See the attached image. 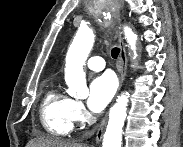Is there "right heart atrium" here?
<instances>
[{
  "mask_svg": "<svg viewBox=\"0 0 183 147\" xmlns=\"http://www.w3.org/2000/svg\"><path fill=\"white\" fill-rule=\"evenodd\" d=\"M86 117H87V113L83 104L79 101H74V107H73L74 121L82 123L86 120Z\"/></svg>",
  "mask_w": 183,
  "mask_h": 147,
  "instance_id": "right-heart-atrium-1",
  "label": "right heart atrium"
}]
</instances>
